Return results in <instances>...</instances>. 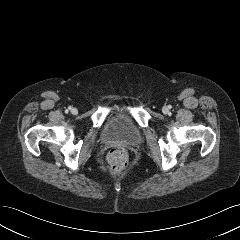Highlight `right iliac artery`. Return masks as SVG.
<instances>
[{
	"label": "right iliac artery",
	"mask_w": 240,
	"mask_h": 240,
	"mask_svg": "<svg viewBox=\"0 0 240 240\" xmlns=\"http://www.w3.org/2000/svg\"><path fill=\"white\" fill-rule=\"evenodd\" d=\"M68 109L71 110V107H68ZM66 111H68V110H66Z\"/></svg>",
	"instance_id": "obj_1"
}]
</instances>
